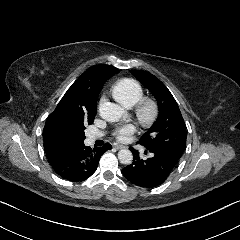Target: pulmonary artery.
<instances>
[{"mask_svg":"<svg viewBox=\"0 0 240 240\" xmlns=\"http://www.w3.org/2000/svg\"><path fill=\"white\" fill-rule=\"evenodd\" d=\"M98 139V137L96 135H89L87 137V143L88 144H92L94 143L96 140Z\"/></svg>","mask_w":240,"mask_h":240,"instance_id":"1","label":"pulmonary artery"}]
</instances>
